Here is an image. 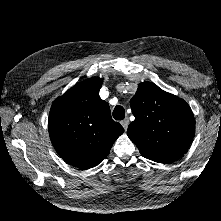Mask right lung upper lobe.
I'll use <instances>...</instances> for the list:
<instances>
[{
  "mask_svg": "<svg viewBox=\"0 0 221 221\" xmlns=\"http://www.w3.org/2000/svg\"><path fill=\"white\" fill-rule=\"evenodd\" d=\"M103 80L92 77L74 85L52 104L48 119L51 142L72 166L89 169L101 163L124 132L99 96Z\"/></svg>",
  "mask_w": 221,
  "mask_h": 221,
  "instance_id": "cb5924a9",
  "label": "right lung upper lobe"
}]
</instances>
